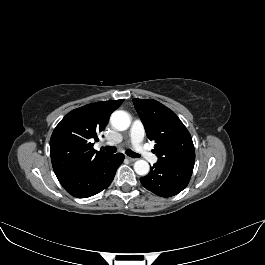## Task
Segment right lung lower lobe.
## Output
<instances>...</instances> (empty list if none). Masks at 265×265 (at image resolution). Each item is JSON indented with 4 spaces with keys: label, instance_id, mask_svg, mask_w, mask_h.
Returning a JSON list of instances; mask_svg holds the SVG:
<instances>
[{
    "label": "right lung lower lobe",
    "instance_id": "1",
    "mask_svg": "<svg viewBox=\"0 0 265 265\" xmlns=\"http://www.w3.org/2000/svg\"><path fill=\"white\" fill-rule=\"evenodd\" d=\"M124 160V155H104L81 170L59 179L64 189L77 198L93 196L107 188Z\"/></svg>",
    "mask_w": 265,
    "mask_h": 265
}]
</instances>
